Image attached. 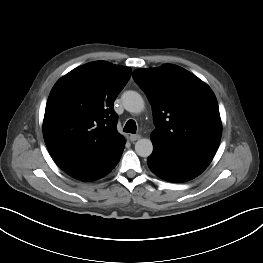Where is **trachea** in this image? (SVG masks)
I'll list each match as a JSON object with an SVG mask.
<instances>
[{
	"instance_id": "trachea-1",
	"label": "trachea",
	"mask_w": 263,
	"mask_h": 263,
	"mask_svg": "<svg viewBox=\"0 0 263 263\" xmlns=\"http://www.w3.org/2000/svg\"><path fill=\"white\" fill-rule=\"evenodd\" d=\"M136 122L134 120H128L127 123L124 126L123 131L127 133H136Z\"/></svg>"
}]
</instances>
